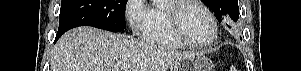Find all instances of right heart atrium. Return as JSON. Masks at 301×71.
I'll list each match as a JSON object with an SVG mask.
<instances>
[{
  "instance_id": "1",
  "label": "right heart atrium",
  "mask_w": 301,
  "mask_h": 71,
  "mask_svg": "<svg viewBox=\"0 0 301 71\" xmlns=\"http://www.w3.org/2000/svg\"><path fill=\"white\" fill-rule=\"evenodd\" d=\"M151 8L144 0H129L125 9V17L131 30L139 34L143 32L150 16Z\"/></svg>"
}]
</instances>
